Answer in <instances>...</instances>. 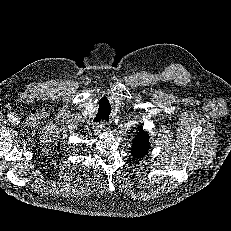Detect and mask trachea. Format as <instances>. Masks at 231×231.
Segmentation results:
<instances>
[{"label": "trachea", "instance_id": "obj_1", "mask_svg": "<svg viewBox=\"0 0 231 231\" xmlns=\"http://www.w3.org/2000/svg\"><path fill=\"white\" fill-rule=\"evenodd\" d=\"M110 112H111V106L108 100L106 98L101 99L99 101L98 113L94 118V122H99L103 120L108 121Z\"/></svg>", "mask_w": 231, "mask_h": 231}]
</instances>
